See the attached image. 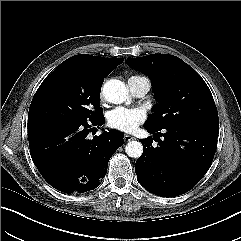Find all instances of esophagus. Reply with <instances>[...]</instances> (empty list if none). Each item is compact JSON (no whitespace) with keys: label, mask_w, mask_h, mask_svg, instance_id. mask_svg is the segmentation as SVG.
Masks as SVG:
<instances>
[{"label":"esophagus","mask_w":241,"mask_h":241,"mask_svg":"<svg viewBox=\"0 0 241 241\" xmlns=\"http://www.w3.org/2000/svg\"><path fill=\"white\" fill-rule=\"evenodd\" d=\"M123 138H124V140H125L126 142L135 139V137H133V136H131V135H128V134H125Z\"/></svg>","instance_id":"obj_1"}]
</instances>
